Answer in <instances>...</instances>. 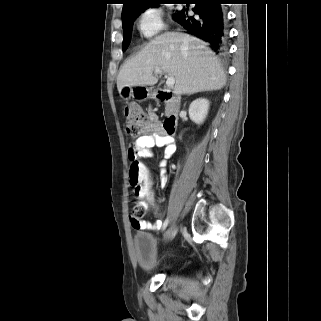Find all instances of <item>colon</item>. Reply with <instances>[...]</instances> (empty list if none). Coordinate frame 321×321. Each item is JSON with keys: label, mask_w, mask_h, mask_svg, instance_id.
Segmentation results:
<instances>
[{"label": "colon", "mask_w": 321, "mask_h": 321, "mask_svg": "<svg viewBox=\"0 0 321 321\" xmlns=\"http://www.w3.org/2000/svg\"><path fill=\"white\" fill-rule=\"evenodd\" d=\"M125 129L128 135L131 137H137L140 134L148 131L152 124V118L148 116L139 105L128 104L125 107ZM130 152L132 157L130 158V181L135 190L136 198H145L146 207L150 211L162 212V205H155L156 197L155 192L152 191L151 185L153 182L150 181L149 173L145 165L140 162L135 156V147H130ZM144 211L135 205L130 214V220L133 223H138L143 216Z\"/></svg>", "instance_id": "5ec220e1"}]
</instances>
